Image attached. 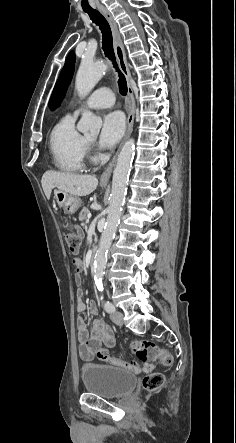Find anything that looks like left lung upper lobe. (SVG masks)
Wrapping results in <instances>:
<instances>
[{
    "instance_id": "left-lung-upper-lobe-1",
    "label": "left lung upper lobe",
    "mask_w": 236,
    "mask_h": 443,
    "mask_svg": "<svg viewBox=\"0 0 236 443\" xmlns=\"http://www.w3.org/2000/svg\"><path fill=\"white\" fill-rule=\"evenodd\" d=\"M75 53L72 51L68 54L65 65L59 75V78L56 82L54 90L52 92L49 108L54 110L58 107L65 95L67 87L72 79L74 68H75Z\"/></svg>"
}]
</instances>
